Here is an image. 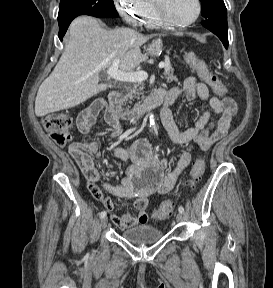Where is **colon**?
<instances>
[{"label":"colon","instance_id":"5ec220e1","mask_svg":"<svg viewBox=\"0 0 273 288\" xmlns=\"http://www.w3.org/2000/svg\"><path fill=\"white\" fill-rule=\"evenodd\" d=\"M184 57L187 63L216 94L225 95L227 93L226 86L222 84L216 75L209 71L206 64L193 52L186 51ZM42 124L56 145L63 147L71 141L70 130L72 127V118L69 115L65 113H52L44 117ZM205 169L206 160L204 158L197 159L187 180L189 188L193 189L196 187L198 182L203 178ZM173 211L174 203L171 200H165L154 211V217L158 220H165L172 215Z\"/></svg>","mask_w":273,"mask_h":288}]
</instances>
